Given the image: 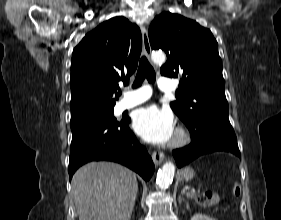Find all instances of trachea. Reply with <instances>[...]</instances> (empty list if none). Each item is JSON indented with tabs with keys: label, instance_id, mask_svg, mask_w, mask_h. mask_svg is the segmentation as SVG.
Returning <instances> with one entry per match:
<instances>
[{
	"label": "trachea",
	"instance_id": "obj_1",
	"mask_svg": "<svg viewBox=\"0 0 281 220\" xmlns=\"http://www.w3.org/2000/svg\"><path fill=\"white\" fill-rule=\"evenodd\" d=\"M147 78L149 83H154L156 79V75L153 67L148 62L147 58L143 56L139 63V68L137 71V75L135 81L133 83V87H139L144 79Z\"/></svg>",
	"mask_w": 281,
	"mask_h": 220
}]
</instances>
